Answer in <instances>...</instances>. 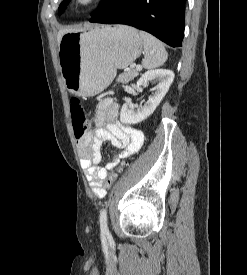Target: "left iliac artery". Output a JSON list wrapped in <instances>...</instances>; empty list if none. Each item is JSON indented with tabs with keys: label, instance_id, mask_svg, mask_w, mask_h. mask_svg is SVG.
Masks as SVG:
<instances>
[{
	"label": "left iliac artery",
	"instance_id": "obj_1",
	"mask_svg": "<svg viewBox=\"0 0 247 275\" xmlns=\"http://www.w3.org/2000/svg\"><path fill=\"white\" fill-rule=\"evenodd\" d=\"M100 229H101V233L103 235L109 234V230H108V226H107V211H106V209H102L100 212Z\"/></svg>",
	"mask_w": 247,
	"mask_h": 275
}]
</instances>
